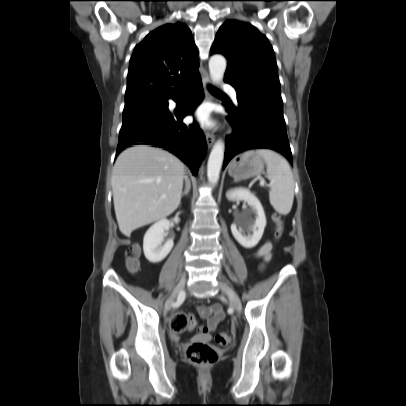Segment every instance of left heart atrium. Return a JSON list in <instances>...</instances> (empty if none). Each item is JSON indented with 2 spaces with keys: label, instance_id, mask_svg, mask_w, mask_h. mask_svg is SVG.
Returning <instances> with one entry per match:
<instances>
[{
  "label": "left heart atrium",
  "instance_id": "left-heart-atrium-1",
  "mask_svg": "<svg viewBox=\"0 0 406 406\" xmlns=\"http://www.w3.org/2000/svg\"><path fill=\"white\" fill-rule=\"evenodd\" d=\"M193 118L196 122H198L203 127L213 126V121L210 117V111L207 106L199 107L195 111Z\"/></svg>",
  "mask_w": 406,
  "mask_h": 406
}]
</instances>
